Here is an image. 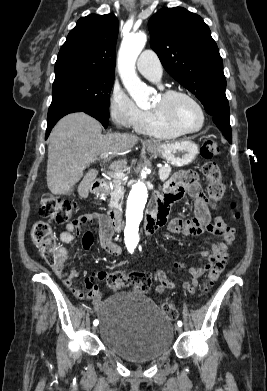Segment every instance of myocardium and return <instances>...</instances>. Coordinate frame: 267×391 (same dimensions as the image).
<instances>
[{"mask_svg":"<svg viewBox=\"0 0 267 391\" xmlns=\"http://www.w3.org/2000/svg\"><path fill=\"white\" fill-rule=\"evenodd\" d=\"M174 96H183L190 100L198 109L200 116H201V123L198 128L196 129H184L177 125L164 111L162 107H156L153 108L152 111L155 115V117L160 121L161 123L165 124L166 126L170 127L171 129L181 133V134H193L201 131L206 124V114L204 111V108L200 104V102L189 92L181 90V89H167L161 92L160 97L163 101V103H166L168 100H170Z\"/></svg>","mask_w":267,"mask_h":391,"instance_id":"myocardium-1","label":"myocardium"}]
</instances>
